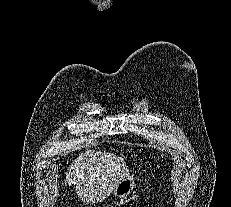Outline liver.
<instances>
[{
  "mask_svg": "<svg viewBox=\"0 0 231 207\" xmlns=\"http://www.w3.org/2000/svg\"><path fill=\"white\" fill-rule=\"evenodd\" d=\"M128 175L122 158L106 151L87 150L68 168L64 184L76 185L77 195L83 202L95 203L109 196Z\"/></svg>",
  "mask_w": 231,
  "mask_h": 207,
  "instance_id": "6515ba94",
  "label": "liver"
}]
</instances>
